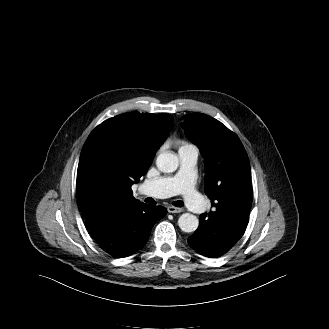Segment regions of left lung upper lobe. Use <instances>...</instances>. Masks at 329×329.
I'll return each mask as SVG.
<instances>
[{
  "mask_svg": "<svg viewBox=\"0 0 329 329\" xmlns=\"http://www.w3.org/2000/svg\"><path fill=\"white\" fill-rule=\"evenodd\" d=\"M180 125L205 159V193L215 207L206 217L213 221L228 219L236 207L249 206V159L237 135L201 113L186 115Z\"/></svg>",
  "mask_w": 329,
  "mask_h": 329,
  "instance_id": "obj_1",
  "label": "left lung upper lobe"
}]
</instances>
